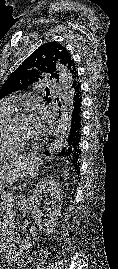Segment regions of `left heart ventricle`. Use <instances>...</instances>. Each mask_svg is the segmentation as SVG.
I'll return each mask as SVG.
<instances>
[{
	"mask_svg": "<svg viewBox=\"0 0 118 269\" xmlns=\"http://www.w3.org/2000/svg\"><path fill=\"white\" fill-rule=\"evenodd\" d=\"M14 132L17 136L32 142L35 140V135L32 132L31 124L26 116L19 118L14 124Z\"/></svg>",
	"mask_w": 118,
	"mask_h": 269,
	"instance_id": "obj_1",
	"label": "left heart ventricle"
}]
</instances>
